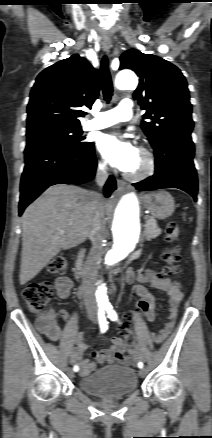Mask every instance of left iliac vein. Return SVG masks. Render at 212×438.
Listing matches in <instances>:
<instances>
[{
    "mask_svg": "<svg viewBox=\"0 0 212 438\" xmlns=\"http://www.w3.org/2000/svg\"><path fill=\"white\" fill-rule=\"evenodd\" d=\"M146 374H147V371H146L145 368L140 369V371H139V375H140L141 377H144Z\"/></svg>",
    "mask_w": 212,
    "mask_h": 438,
    "instance_id": "left-iliac-vein-1",
    "label": "left iliac vein"
}]
</instances>
